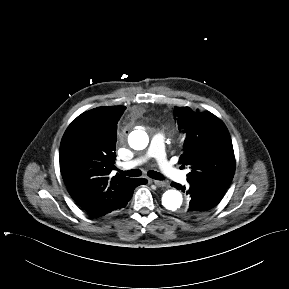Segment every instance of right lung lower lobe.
I'll return each mask as SVG.
<instances>
[{
  "instance_id": "1",
  "label": "right lung lower lobe",
  "mask_w": 289,
  "mask_h": 289,
  "mask_svg": "<svg viewBox=\"0 0 289 289\" xmlns=\"http://www.w3.org/2000/svg\"><path fill=\"white\" fill-rule=\"evenodd\" d=\"M146 182H147L146 179H135L134 188H133V190H132V193L129 195L128 201L131 199L135 187L138 186V185H141V184H146ZM128 201H127V202H128ZM126 205H127V203H126ZM126 205H125V206H126ZM125 206H124V207H125Z\"/></svg>"
}]
</instances>
